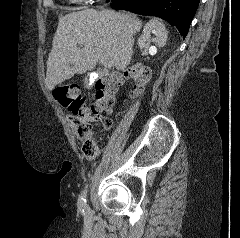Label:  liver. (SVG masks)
Segmentation results:
<instances>
[{
  "instance_id": "liver-1",
  "label": "liver",
  "mask_w": 240,
  "mask_h": 238,
  "mask_svg": "<svg viewBox=\"0 0 240 238\" xmlns=\"http://www.w3.org/2000/svg\"><path fill=\"white\" fill-rule=\"evenodd\" d=\"M142 27L130 13L86 9L59 19L47 60L45 84L49 90L75 73L93 70L100 51L117 70H124L133 54V35Z\"/></svg>"
}]
</instances>
